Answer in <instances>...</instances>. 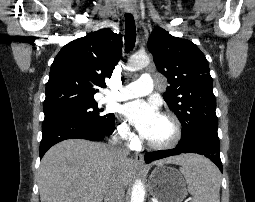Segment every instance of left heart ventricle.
Returning <instances> with one entry per match:
<instances>
[{"label":"left heart ventricle","instance_id":"1","mask_svg":"<svg viewBox=\"0 0 255 202\" xmlns=\"http://www.w3.org/2000/svg\"><path fill=\"white\" fill-rule=\"evenodd\" d=\"M173 133L171 123L162 116H159L146 139L154 142H163L171 138Z\"/></svg>","mask_w":255,"mask_h":202}]
</instances>
